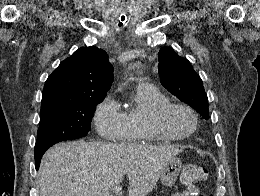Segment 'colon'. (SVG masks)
Instances as JSON below:
<instances>
[{
	"label": "colon",
	"mask_w": 260,
	"mask_h": 196,
	"mask_svg": "<svg viewBox=\"0 0 260 196\" xmlns=\"http://www.w3.org/2000/svg\"><path fill=\"white\" fill-rule=\"evenodd\" d=\"M208 173L202 166L186 164L180 171V181L186 187H194L207 181Z\"/></svg>",
	"instance_id": "1"
}]
</instances>
